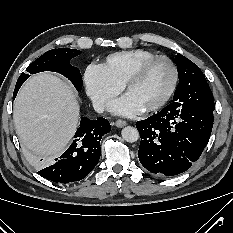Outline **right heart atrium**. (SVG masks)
<instances>
[{
    "label": "right heart atrium",
    "instance_id": "obj_1",
    "mask_svg": "<svg viewBox=\"0 0 233 233\" xmlns=\"http://www.w3.org/2000/svg\"><path fill=\"white\" fill-rule=\"evenodd\" d=\"M84 84L94 108L98 111H105L122 89V86L110 77L104 66L99 64L87 66Z\"/></svg>",
    "mask_w": 233,
    "mask_h": 233
}]
</instances>
